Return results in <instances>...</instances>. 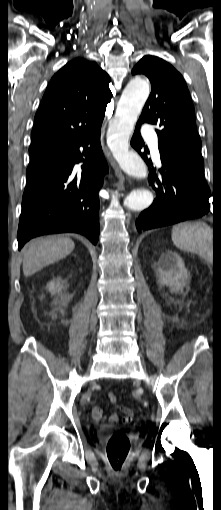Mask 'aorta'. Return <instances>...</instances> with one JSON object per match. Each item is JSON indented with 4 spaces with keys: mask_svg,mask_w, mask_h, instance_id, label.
I'll return each mask as SVG.
<instances>
[{
    "mask_svg": "<svg viewBox=\"0 0 221 510\" xmlns=\"http://www.w3.org/2000/svg\"><path fill=\"white\" fill-rule=\"evenodd\" d=\"M149 83L141 78L132 79L125 87L115 116L109 127L108 145L121 169L129 176L147 177L143 159L129 149V137L149 96ZM153 202V194L146 189H135L124 200V206L133 211H142Z\"/></svg>",
    "mask_w": 221,
    "mask_h": 510,
    "instance_id": "762f6f07",
    "label": "aorta"
}]
</instances>
